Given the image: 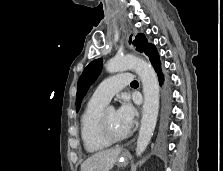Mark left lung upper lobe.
<instances>
[{
    "label": "left lung upper lobe",
    "mask_w": 223,
    "mask_h": 171,
    "mask_svg": "<svg viewBox=\"0 0 223 171\" xmlns=\"http://www.w3.org/2000/svg\"><path fill=\"white\" fill-rule=\"evenodd\" d=\"M129 42L130 43L132 42L131 39ZM132 43L137 47L138 51L143 52L145 54L148 51L149 47L152 45L148 44L146 37L142 33L137 34L135 40ZM101 69H102V59H96L88 64V66L84 69L82 75L80 76L78 80L77 95H76L77 112L80 109L81 102L84 96L86 95L89 87L95 82Z\"/></svg>",
    "instance_id": "1"
}]
</instances>
